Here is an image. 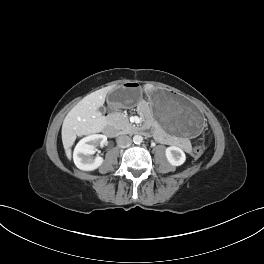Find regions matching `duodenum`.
<instances>
[{"label":"duodenum","instance_id":"obj_1","mask_svg":"<svg viewBox=\"0 0 264 264\" xmlns=\"http://www.w3.org/2000/svg\"><path fill=\"white\" fill-rule=\"evenodd\" d=\"M147 131L148 130L146 128H142V127H132L130 129V132L133 134H142ZM104 132L107 136H115L117 133V130L110 122H108L104 128Z\"/></svg>","mask_w":264,"mask_h":264}]
</instances>
